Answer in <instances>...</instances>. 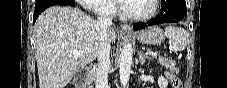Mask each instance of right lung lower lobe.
<instances>
[{
	"label": "right lung lower lobe",
	"mask_w": 227,
	"mask_h": 88,
	"mask_svg": "<svg viewBox=\"0 0 227 88\" xmlns=\"http://www.w3.org/2000/svg\"><path fill=\"white\" fill-rule=\"evenodd\" d=\"M59 1L60 0H47L42 3L35 4L34 22L36 21L38 16L41 14V12H43L46 8H48L52 5L60 4Z\"/></svg>",
	"instance_id": "obj_1"
}]
</instances>
